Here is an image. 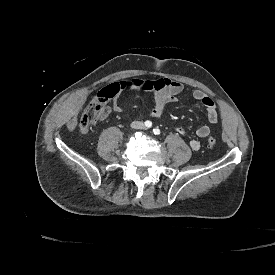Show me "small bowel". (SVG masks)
<instances>
[{
	"mask_svg": "<svg viewBox=\"0 0 275 275\" xmlns=\"http://www.w3.org/2000/svg\"><path fill=\"white\" fill-rule=\"evenodd\" d=\"M119 84H124V88H128L132 92L141 90L151 92L155 101V105L151 111L152 117H160L164 112L165 106L167 104L176 102L178 96L184 91L183 84L169 78H161L155 81L134 79L129 82H120ZM105 88L106 87L101 89V91H103ZM190 96L204 106L206 110V117L210 124H216L219 121L217 105L213 98L200 89H193L190 92ZM112 109L115 112L122 111V106L116 98L113 100ZM175 129L181 135L187 134V131L182 126H176ZM87 131L88 129L81 132L87 133ZM210 133L211 128L209 125H201L196 130V135L199 138H206L210 135ZM190 145L195 150L200 146L199 141L196 139H191Z\"/></svg>",
	"mask_w": 275,
	"mask_h": 275,
	"instance_id": "obj_1",
	"label": "small bowel"
}]
</instances>
